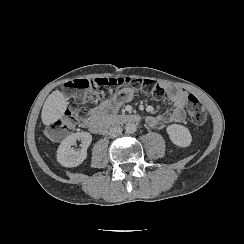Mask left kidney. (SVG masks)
Returning a JSON list of instances; mask_svg holds the SVG:
<instances>
[{"label":"left kidney","mask_w":244,"mask_h":244,"mask_svg":"<svg viewBox=\"0 0 244 244\" xmlns=\"http://www.w3.org/2000/svg\"><path fill=\"white\" fill-rule=\"evenodd\" d=\"M166 132L170 141L177 147L186 148L192 143L190 130L184 125L170 124L166 127Z\"/></svg>","instance_id":"obj_1"}]
</instances>
